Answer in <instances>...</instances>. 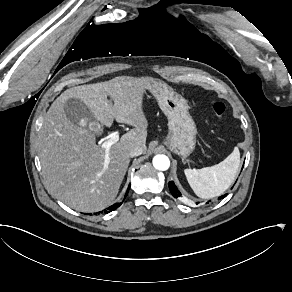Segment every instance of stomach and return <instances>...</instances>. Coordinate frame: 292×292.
I'll list each match as a JSON object with an SVG mask.
<instances>
[{
    "label": "stomach",
    "instance_id": "0dacf381",
    "mask_svg": "<svg viewBox=\"0 0 292 292\" xmlns=\"http://www.w3.org/2000/svg\"><path fill=\"white\" fill-rule=\"evenodd\" d=\"M150 89L168 119V132L163 143L182 160L188 159L195 150L197 129L188 111L187 101L170 91L162 81H157Z\"/></svg>",
    "mask_w": 292,
    "mask_h": 292
}]
</instances>
